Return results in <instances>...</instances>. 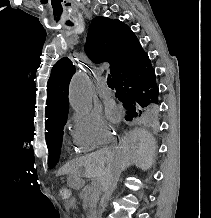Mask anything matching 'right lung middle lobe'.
Here are the masks:
<instances>
[{
    "instance_id": "dd1d6c3e",
    "label": "right lung middle lobe",
    "mask_w": 211,
    "mask_h": 218,
    "mask_svg": "<svg viewBox=\"0 0 211 218\" xmlns=\"http://www.w3.org/2000/svg\"><path fill=\"white\" fill-rule=\"evenodd\" d=\"M123 107L126 110V120L131 121L133 118L140 116L141 114L154 113L157 111L159 102L150 103L144 100L130 98V97H121L118 98ZM67 120V115L62 117L55 125L52 127V130L46 135L47 146L49 150V168L52 169L58 162L62 137H63V128Z\"/></svg>"
}]
</instances>
